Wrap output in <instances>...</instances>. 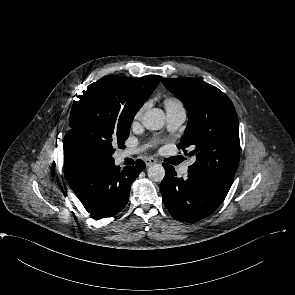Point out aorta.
I'll return each instance as SVG.
<instances>
[{"mask_svg":"<svg viewBox=\"0 0 295 295\" xmlns=\"http://www.w3.org/2000/svg\"><path fill=\"white\" fill-rule=\"evenodd\" d=\"M143 126L148 130H159L165 124L163 110L153 108L148 110L142 118ZM148 177L154 182H161L165 177V169L161 164H154L148 168Z\"/></svg>","mask_w":295,"mask_h":295,"instance_id":"obj_1","label":"aorta"}]
</instances>
